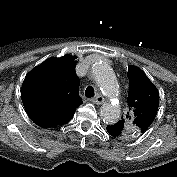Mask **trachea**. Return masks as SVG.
Masks as SVG:
<instances>
[{
	"mask_svg": "<svg viewBox=\"0 0 177 177\" xmlns=\"http://www.w3.org/2000/svg\"><path fill=\"white\" fill-rule=\"evenodd\" d=\"M85 95L88 98L94 97L95 93H94V89L92 86H88L85 90Z\"/></svg>",
	"mask_w": 177,
	"mask_h": 177,
	"instance_id": "trachea-1",
	"label": "trachea"
}]
</instances>
